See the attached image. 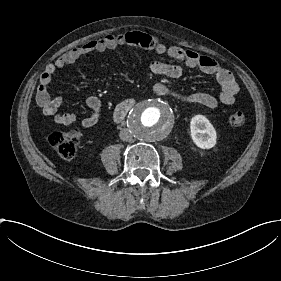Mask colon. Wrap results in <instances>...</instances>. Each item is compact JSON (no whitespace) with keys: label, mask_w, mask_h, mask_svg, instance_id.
Returning <instances> with one entry per match:
<instances>
[{"label":"colon","mask_w":281,"mask_h":281,"mask_svg":"<svg viewBox=\"0 0 281 281\" xmlns=\"http://www.w3.org/2000/svg\"><path fill=\"white\" fill-rule=\"evenodd\" d=\"M230 122L233 126L240 127L245 122V114L240 110L231 113ZM50 145L65 159H72L76 155L79 136L71 131H58L51 134Z\"/></svg>","instance_id":"colon-1"}]
</instances>
